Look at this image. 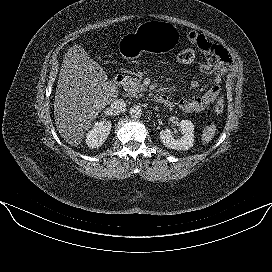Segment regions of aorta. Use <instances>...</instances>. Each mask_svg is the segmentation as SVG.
Wrapping results in <instances>:
<instances>
[{"label": "aorta", "instance_id": "aorta-1", "mask_svg": "<svg viewBox=\"0 0 272 272\" xmlns=\"http://www.w3.org/2000/svg\"><path fill=\"white\" fill-rule=\"evenodd\" d=\"M129 114L131 118L138 119L142 115V109L138 105H133L129 110Z\"/></svg>", "mask_w": 272, "mask_h": 272}]
</instances>
